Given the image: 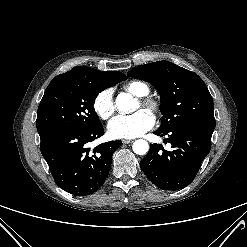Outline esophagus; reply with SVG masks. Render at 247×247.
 <instances>
[{
  "mask_svg": "<svg viewBox=\"0 0 247 247\" xmlns=\"http://www.w3.org/2000/svg\"><path fill=\"white\" fill-rule=\"evenodd\" d=\"M132 142H133V140H128V139L122 140V143H123V144H130V143H132Z\"/></svg>",
  "mask_w": 247,
  "mask_h": 247,
  "instance_id": "1",
  "label": "esophagus"
}]
</instances>
